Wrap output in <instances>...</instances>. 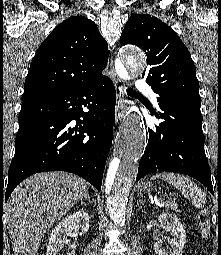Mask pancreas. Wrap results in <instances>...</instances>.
<instances>
[{
  "label": "pancreas",
  "mask_w": 221,
  "mask_h": 255,
  "mask_svg": "<svg viewBox=\"0 0 221 255\" xmlns=\"http://www.w3.org/2000/svg\"><path fill=\"white\" fill-rule=\"evenodd\" d=\"M165 207H166L167 209H171V210H174V211H176V212L179 211L176 204L167 203V204H165Z\"/></svg>",
  "instance_id": "1"
}]
</instances>
